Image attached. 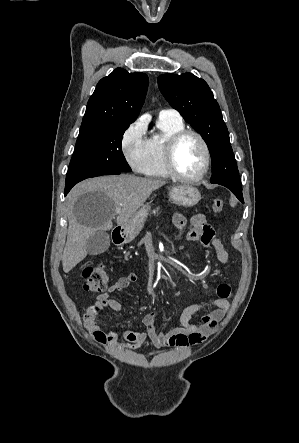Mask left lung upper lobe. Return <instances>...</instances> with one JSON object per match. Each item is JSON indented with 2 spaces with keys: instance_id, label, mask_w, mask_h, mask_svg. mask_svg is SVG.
<instances>
[{
  "instance_id": "obj_1",
  "label": "left lung upper lobe",
  "mask_w": 299,
  "mask_h": 443,
  "mask_svg": "<svg viewBox=\"0 0 299 443\" xmlns=\"http://www.w3.org/2000/svg\"><path fill=\"white\" fill-rule=\"evenodd\" d=\"M158 85L169 104L207 143L212 160L211 183L242 187L227 127L207 83L191 73H184L160 75Z\"/></svg>"
}]
</instances>
